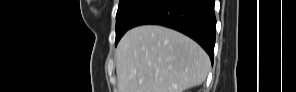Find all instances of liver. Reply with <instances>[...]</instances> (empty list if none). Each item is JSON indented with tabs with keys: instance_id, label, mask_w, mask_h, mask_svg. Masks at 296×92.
Returning <instances> with one entry per match:
<instances>
[{
	"instance_id": "liver-1",
	"label": "liver",
	"mask_w": 296,
	"mask_h": 92,
	"mask_svg": "<svg viewBox=\"0 0 296 92\" xmlns=\"http://www.w3.org/2000/svg\"><path fill=\"white\" fill-rule=\"evenodd\" d=\"M115 56L119 92H183L201 85L211 66L195 41L158 25L129 30Z\"/></svg>"
}]
</instances>
